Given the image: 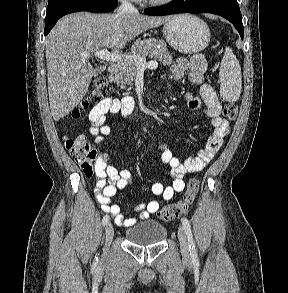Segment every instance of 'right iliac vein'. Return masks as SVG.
<instances>
[{
    "mask_svg": "<svg viewBox=\"0 0 288 293\" xmlns=\"http://www.w3.org/2000/svg\"><path fill=\"white\" fill-rule=\"evenodd\" d=\"M105 235H106L105 251H108V248L114 236V228L110 222L106 224Z\"/></svg>",
    "mask_w": 288,
    "mask_h": 293,
    "instance_id": "obj_1",
    "label": "right iliac vein"
}]
</instances>
